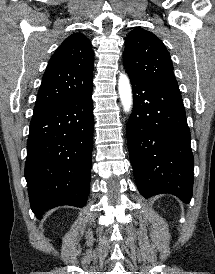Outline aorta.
Segmentation results:
<instances>
[{
	"label": "aorta",
	"instance_id": "1",
	"mask_svg": "<svg viewBox=\"0 0 215 274\" xmlns=\"http://www.w3.org/2000/svg\"><path fill=\"white\" fill-rule=\"evenodd\" d=\"M118 91L120 95V100L123 105L125 112L129 113L132 108V90L130 86V81L125 74H121L118 81Z\"/></svg>",
	"mask_w": 215,
	"mask_h": 274
}]
</instances>
